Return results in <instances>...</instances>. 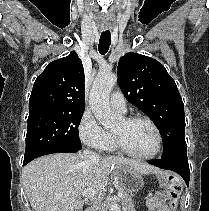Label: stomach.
<instances>
[{
  "mask_svg": "<svg viewBox=\"0 0 209 211\" xmlns=\"http://www.w3.org/2000/svg\"><path fill=\"white\" fill-rule=\"evenodd\" d=\"M117 176L120 187L129 195L137 193L144 186L142 177L130 168L123 167L119 169Z\"/></svg>",
  "mask_w": 209,
  "mask_h": 211,
  "instance_id": "1",
  "label": "stomach"
}]
</instances>
